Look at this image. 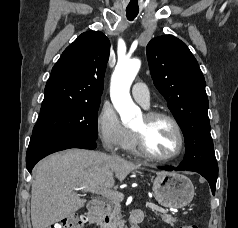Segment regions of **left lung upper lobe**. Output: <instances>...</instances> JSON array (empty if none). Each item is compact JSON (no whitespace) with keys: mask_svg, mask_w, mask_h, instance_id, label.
Masks as SVG:
<instances>
[{"mask_svg":"<svg viewBox=\"0 0 238 228\" xmlns=\"http://www.w3.org/2000/svg\"><path fill=\"white\" fill-rule=\"evenodd\" d=\"M146 52L154 85L168 102L184 135L186 154L180 165L218 170L205 79L195 57L173 35L152 39Z\"/></svg>","mask_w":238,"mask_h":228,"instance_id":"1","label":"left lung upper lobe"}]
</instances>
